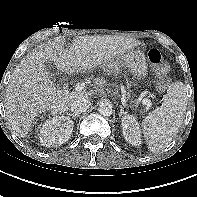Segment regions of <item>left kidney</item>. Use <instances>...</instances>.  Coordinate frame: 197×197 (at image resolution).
<instances>
[{"label": "left kidney", "mask_w": 197, "mask_h": 197, "mask_svg": "<svg viewBox=\"0 0 197 197\" xmlns=\"http://www.w3.org/2000/svg\"><path fill=\"white\" fill-rule=\"evenodd\" d=\"M123 136L127 142L137 146L141 144L139 125L136 117L126 115L122 118Z\"/></svg>", "instance_id": "5707ae66"}]
</instances>
